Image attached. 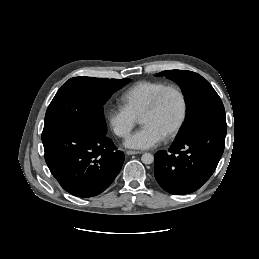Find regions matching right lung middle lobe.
Masks as SVG:
<instances>
[{
	"instance_id": "obj_1",
	"label": "right lung middle lobe",
	"mask_w": 259,
	"mask_h": 259,
	"mask_svg": "<svg viewBox=\"0 0 259 259\" xmlns=\"http://www.w3.org/2000/svg\"><path fill=\"white\" fill-rule=\"evenodd\" d=\"M130 79L74 77L64 83L51 101L44 129L69 123L107 132L103 105Z\"/></svg>"
}]
</instances>
